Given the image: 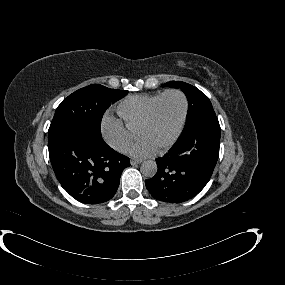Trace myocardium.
Here are the masks:
<instances>
[{"instance_id": "1", "label": "myocardium", "mask_w": 285, "mask_h": 285, "mask_svg": "<svg viewBox=\"0 0 285 285\" xmlns=\"http://www.w3.org/2000/svg\"><path fill=\"white\" fill-rule=\"evenodd\" d=\"M171 94H176V95H179L181 97V99L183 100V104H184V110H183L182 118H181L180 124L178 126V129L175 132V134L173 135V137L167 143L157 147V151H160V152L171 148L178 141V139L180 138V136H181V134L185 128L187 116H188V112H189V102H188L186 95L178 89H171V90H167V91L163 92L162 95L157 99V101L152 106L147 117L141 122V124L137 128V132H138L142 127L148 125L152 121V119L154 118L156 111H157L160 103L162 102V100L166 96L171 95Z\"/></svg>"}]
</instances>
